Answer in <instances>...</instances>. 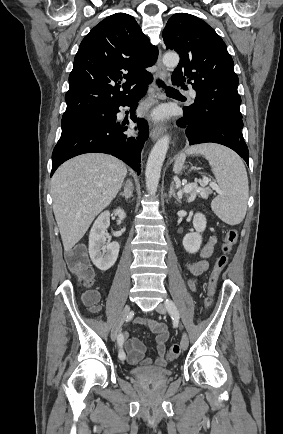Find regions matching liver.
Segmentation results:
<instances>
[{
  "mask_svg": "<svg viewBox=\"0 0 283 434\" xmlns=\"http://www.w3.org/2000/svg\"><path fill=\"white\" fill-rule=\"evenodd\" d=\"M126 174L122 161L102 153L79 155L57 169L51 195L65 252L80 241L95 217L116 197Z\"/></svg>",
  "mask_w": 283,
  "mask_h": 434,
  "instance_id": "6515ba94",
  "label": "liver"
}]
</instances>
